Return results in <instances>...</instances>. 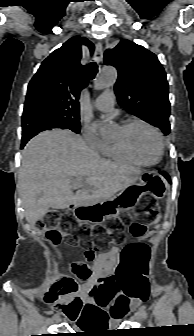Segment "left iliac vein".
Masks as SVG:
<instances>
[{
  "mask_svg": "<svg viewBox=\"0 0 194 336\" xmlns=\"http://www.w3.org/2000/svg\"><path fill=\"white\" fill-rule=\"evenodd\" d=\"M135 317H136V319H138V320H142L144 317H143V314L140 312V311H137L136 313H135Z\"/></svg>",
  "mask_w": 194,
  "mask_h": 336,
  "instance_id": "left-iliac-vein-1",
  "label": "left iliac vein"
}]
</instances>
